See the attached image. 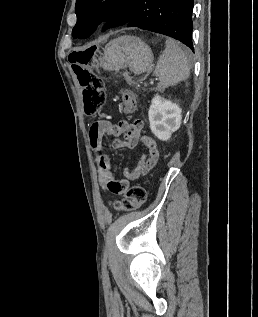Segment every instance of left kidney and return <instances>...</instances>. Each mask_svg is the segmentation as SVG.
I'll return each mask as SVG.
<instances>
[{
	"label": "left kidney",
	"mask_w": 258,
	"mask_h": 317,
	"mask_svg": "<svg viewBox=\"0 0 258 317\" xmlns=\"http://www.w3.org/2000/svg\"><path fill=\"white\" fill-rule=\"evenodd\" d=\"M182 110L176 102L155 94L148 110L150 128L160 140H169L181 124Z\"/></svg>",
	"instance_id": "obj_1"
}]
</instances>
